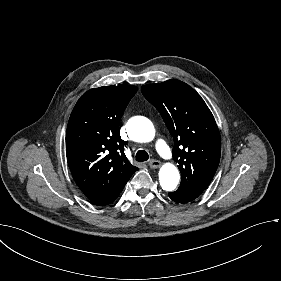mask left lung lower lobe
<instances>
[{
    "label": "left lung lower lobe",
    "instance_id": "1",
    "mask_svg": "<svg viewBox=\"0 0 281 281\" xmlns=\"http://www.w3.org/2000/svg\"><path fill=\"white\" fill-rule=\"evenodd\" d=\"M199 195L193 193V192H189L185 189H181L179 188L176 192H172L169 193V197L178 203H186L189 201L194 200L195 198H197Z\"/></svg>",
    "mask_w": 281,
    "mask_h": 281
}]
</instances>
